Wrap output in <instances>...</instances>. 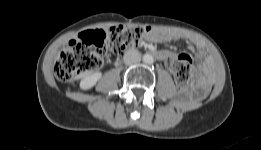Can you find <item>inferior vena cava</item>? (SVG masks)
<instances>
[{"mask_svg": "<svg viewBox=\"0 0 261 150\" xmlns=\"http://www.w3.org/2000/svg\"><path fill=\"white\" fill-rule=\"evenodd\" d=\"M141 54L135 49L128 50L123 57L124 63L127 65L136 64L140 61Z\"/></svg>", "mask_w": 261, "mask_h": 150, "instance_id": "1", "label": "inferior vena cava"}]
</instances>
